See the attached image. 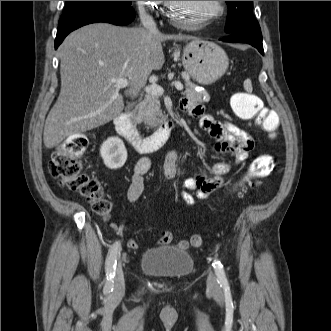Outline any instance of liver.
Masks as SVG:
<instances>
[{
	"mask_svg": "<svg viewBox=\"0 0 331 331\" xmlns=\"http://www.w3.org/2000/svg\"><path fill=\"white\" fill-rule=\"evenodd\" d=\"M193 36L151 34L145 28H122L106 23L84 26L69 34L58 51L61 90L43 133L48 149L66 137L113 120L124 109L114 80L126 78V96L137 95L152 70L165 59L161 43Z\"/></svg>",
	"mask_w": 331,
	"mask_h": 331,
	"instance_id": "6515ba94",
	"label": "liver"
}]
</instances>
